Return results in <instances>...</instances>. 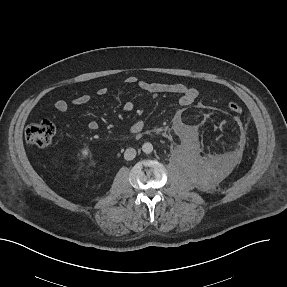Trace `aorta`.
I'll use <instances>...</instances> for the list:
<instances>
[{"label": "aorta", "mask_w": 287, "mask_h": 287, "mask_svg": "<svg viewBox=\"0 0 287 287\" xmlns=\"http://www.w3.org/2000/svg\"><path fill=\"white\" fill-rule=\"evenodd\" d=\"M142 151L145 154H150L153 151V145L149 142L144 143L142 146Z\"/></svg>", "instance_id": "aorta-1"}]
</instances>
